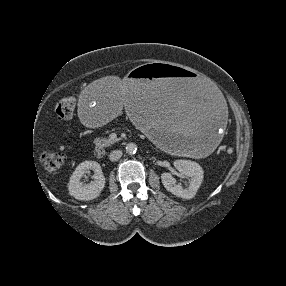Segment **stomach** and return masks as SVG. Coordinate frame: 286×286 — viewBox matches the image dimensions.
I'll return each mask as SVG.
<instances>
[{"label":"stomach","instance_id":"stomach-1","mask_svg":"<svg viewBox=\"0 0 286 286\" xmlns=\"http://www.w3.org/2000/svg\"><path fill=\"white\" fill-rule=\"evenodd\" d=\"M76 109L93 126L114 121L126 110L160 148L177 154L213 149L227 115L224 94L213 82L171 62L137 68L125 83L100 76L82 88Z\"/></svg>","mask_w":286,"mask_h":286}]
</instances>
